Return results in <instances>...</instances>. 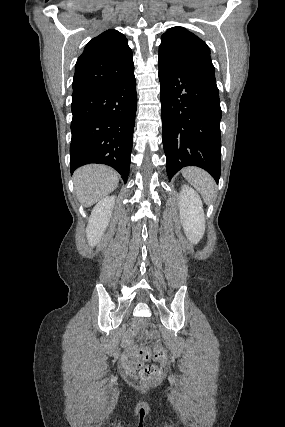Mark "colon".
Masks as SVG:
<instances>
[{
	"mask_svg": "<svg viewBox=\"0 0 285 427\" xmlns=\"http://www.w3.org/2000/svg\"><path fill=\"white\" fill-rule=\"evenodd\" d=\"M146 325H147V322L143 319H138L135 322V326H138V327H144ZM130 355L132 357L140 356L143 358L144 361L153 359L154 361L160 364H165L168 360L166 349L159 344H154L150 347L143 348L140 350H131ZM135 369L137 371L139 378L144 383L148 385H153L157 382L156 380L157 369L153 364L138 362L135 365Z\"/></svg>",
	"mask_w": 285,
	"mask_h": 427,
	"instance_id": "colon-1",
	"label": "colon"
}]
</instances>
